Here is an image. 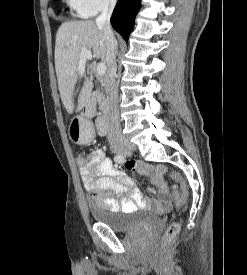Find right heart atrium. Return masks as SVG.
I'll return each instance as SVG.
<instances>
[{"label": "right heart atrium", "instance_id": "d8ad5b80", "mask_svg": "<svg viewBox=\"0 0 247 275\" xmlns=\"http://www.w3.org/2000/svg\"><path fill=\"white\" fill-rule=\"evenodd\" d=\"M76 12L83 17L94 16L101 11L113 9L117 0H75Z\"/></svg>", "mask_w": 247, "mask_h": 275}]
</instances>
